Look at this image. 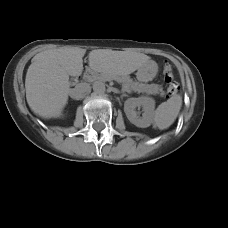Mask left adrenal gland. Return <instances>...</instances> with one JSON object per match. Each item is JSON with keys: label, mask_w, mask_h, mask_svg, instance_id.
<instances>
[{"label": "left adrenal gland", "mask_w": 228, "mask_h": 228, "mask_svg": "<svg viewBox=\"0 0 228 228\" xmlns=\"http://www.w3.org/2000/svg\"><path fill=\"white\" fill-rule=\"evenodd\" d=\"M127 96H128L127 94L123 93V94L121 95V99H123V97H127Z\"/></svg>", "instance_id": "a2214340"}]
</instances>
